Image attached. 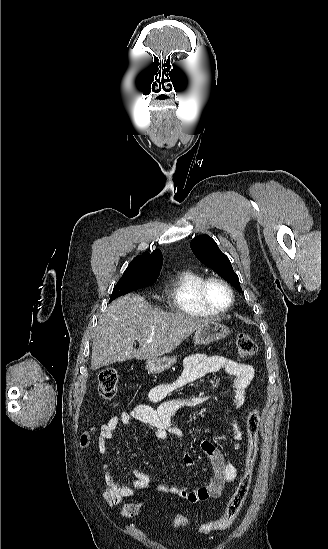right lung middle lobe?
Segmentation results:
<instances>
[{"instance_id": "dd1d6c3e", "label": "right lung middle lobe", "mask_w": 328, "mask_h": 549, "mask_svg": "<svg viewBox=\"0 0 328 549\" xmlns=\"http://www.w3.org/2000/svg\"><path fill=\"white\" fill-rule=\"evenodd\" d=\"M160 270V267L145 266L133 271L124 272L122 278L113 289L110 302L121 295L154 283L159 276Z\"/></svg>"}]
</instances>
